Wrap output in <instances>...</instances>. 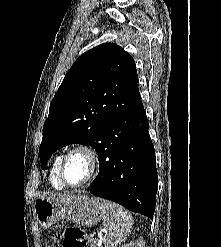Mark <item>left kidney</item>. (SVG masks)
<instances>
[{
	"label": "left kidney",
	"mask_w": 221,
	"mask_h": 247,
	"mask_svg": "<svg viewBox=\"0 0 221 247\" xmlns=\"http://www.w3.org/2000/svg\"><path fill=\"white\" fill-rule=\"evenodd\" d=\"M123 247H145V243L143 242V240H138L136 242L126 244Z\"/></svg>",
	"instance_id": "left-kidney-1"
}]
</instances>
